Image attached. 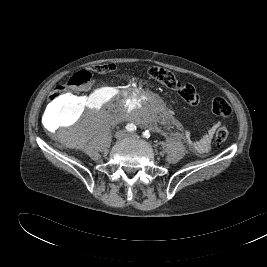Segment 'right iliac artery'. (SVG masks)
<instances>
[{
    "label": "right iliac artery",
    "instance_id": "obj_1",
    "mask_svg": "<svg viewBox=\"0 0 267 267\" xmlns=\"http://www.w3.org/2000/svg\"><path fill=\"white\" fill-rule=\"evenodd\" d=\"M126 129H127V131H129V132H133V131H135L136 130V126L134 125V124H127L126 125Z\"/></svg>",
    "mask_w": 267,
    "mask_h": 267
}]
</instances>
